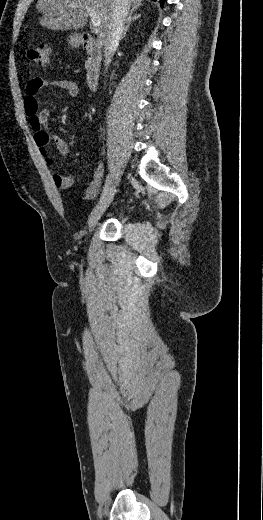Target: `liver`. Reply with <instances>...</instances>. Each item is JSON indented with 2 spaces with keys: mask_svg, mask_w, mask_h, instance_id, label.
Segmentation results:
<instances>
[{
  "mask_svg": "<svg viewBox=\"0 0 263 520\" xmlns=\"http://www.w3.org/2000/svg\"><path fill=\"white\" fill-rule=\"evenodd\" d=\"M132 7L141 6L142 0H129ZM74 3V7L70 4ZM36 8L43 13L40 25L50 30H79L88 22L87 8L93 9L100 17L99 41L104 42L107 35L114 0H38Z\"/></svg>",
  "mask_w": 263,
  "mask_h": 520,
  "instance_id": "obj_1",
  "label": "liver"
}]
</instances>
